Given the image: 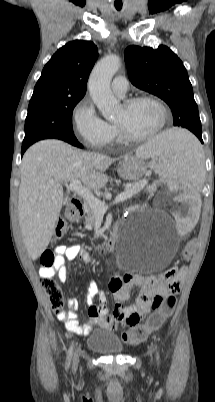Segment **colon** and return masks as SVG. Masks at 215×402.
I'll list each match as a JSON object with an SVG mask.
<instances>
[{"mask_svg": "<svg viewBox=\"0 0 215 402\" xmlns=\"http://www.w3.org/2000/svg\"><path fill=\"white\" fill-rule=\"evenodd\" d=\"M67 231V226L64 220L59 219L55 226L54 236L59 239L65 235ZM197 240L191 239L189 245H184L180 253L181 260H192L193 251L196 249ZM56 257L52 251H46L41 256V264L45 268H51L55 264ZM178 270L171 268L165 271L162 276L169 279L176 276ZM43 286L49 295L52 308L57 315L65 313L64 309V295L60 286L52 278H43ZM175 298L173 295L168 296H155L153 300V309L158 308L159 310L154 313L147 321V323L142 325H136L138 323L135 319L136 324L133 325L131 329L125 331L122 338L125 342L130 344H136L143 341L149 333L157 330L164 320L172 313L174 308Z\"/></svg>", "mask_w": 215, "mask_h": 402, "instance_id": "colon-1", "label": "colon"}]
</instances>
